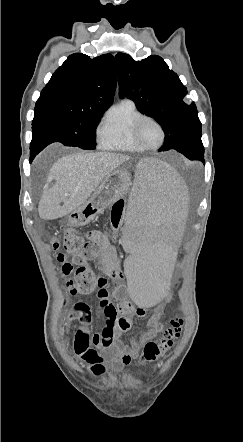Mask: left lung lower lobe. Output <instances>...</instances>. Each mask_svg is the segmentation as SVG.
I'll return each instance as SVG.
<instances>
[{
	"mask_svg": "<svg viewBox=\"0 0 243 442\" xmlns=\"http://www.w3.org/2000/svg\"><path fill=\"white\" fill-rule=\"evenodd\" d=\"M178 152L182 153L189 159H199L204 162V147L202 141H196L187 147L180 149Z\"/></svg>",
	"mask_w": 243,
	"mask_h": 442,
	"instance_id": "0a47b994",
	"label": "left lung lower lobe"
}]
</instances>
